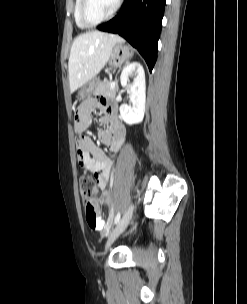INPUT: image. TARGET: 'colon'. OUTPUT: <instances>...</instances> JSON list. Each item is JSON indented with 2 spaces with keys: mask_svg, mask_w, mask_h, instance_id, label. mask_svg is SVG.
Returning a JSON list of instances; mask_svg holds the SVG:
<instances>
[{
  "mask_svg": "<svg viewBox=\"0 0 247 304\" xmlns=\"http://www.w3.org/2000/svg\"><path fill=\"white\" fill-rule=\"evenodd\" d=\"M79 190L85 205V215L89 227L93 230H104L105 225L100 216L98 203L104 201L106 194L101 196L100 200H93L96 194V182L90 175H82L79 179Z\"/></svg>",
  "mask_w": 247,
  "mask_h": 304,
  "instance_id": "colon-1",
  "label": "colon"
}]
</instances>
